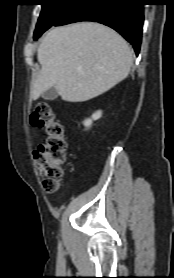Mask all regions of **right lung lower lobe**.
I'll use <instances>...</instances> for the list:
<instances>
[{
    "label": "right lung lower lobe",
    "instance_id": "98d812e1",
    "mask_svg": "<svg viewBox=\"0 0 174 278\" xmlns=\"http://www.w3.org/2000/svg\"><path fill=\"white\" fill-rule=\"evenodd\" d=\"M143 0H74L54 26L95 21L119 32L138 55L143 28ZM40 35L37 36L40 37Z\"/></svg>",
    "mask_w": 174,
    "mask_h": 278
}]
</instances>
